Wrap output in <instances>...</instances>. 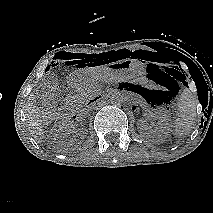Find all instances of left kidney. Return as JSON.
<instances>
[{
  "mask_svg": "<svg viewBox=\"0 0 213 213\" xmlns=\"http://www.w3.org/2000/svg\"><path fill=\"white\" fill-rule=\"evenodd\" d=\"M151 116L157 119L154 128H150L145 121H141L139 131L145 136H155L157 138L167 137L170 131L169 115L166 109L157 108L151 112Z\"/></svg>",
  "mask_w": 213,
  "mask_h": 213,
  "instance_id": "obj_1",
  "label": "left kidney"
}]
</instances>
